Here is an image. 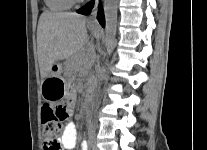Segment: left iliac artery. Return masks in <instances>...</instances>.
Wrapping results in <instances>:
<instances>
[{
  "label": "left iliac artery",
  "mask_w": 207,
  "mask_h": 150,
  "mask_svg": "<svg viewBox=\"0 0 207 150\" xmlns=\"http://www.w3.org/2000/svg\"><path fill=\"white\" fill-rule=\"evenodd\" d=\"M89 138H90L91 142L94 141V132H93V130L89 131Z\"/></svg>",
  "instance_id": "left-iliac-artery-1"
}]
</instances>
